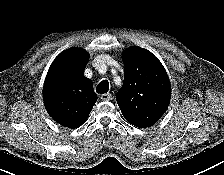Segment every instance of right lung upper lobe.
<instances>
[{"mask_svg": "<svg viewBox=\"0 0 224 175\" xmlns=\"http://www.w3.org/2000/svg\"><path fill=\"white\" fill-rule=\"evenodd\" d=\"M87 52L70 48L53 61L46 76L43 99L48 114L60 125H82L97 101L92 83L84 76Z\"/></svg>", "mask_w": 224, "mask_h": 175, "instance_id": "1", "label": "right lung upper lobe"}]
</instances>
